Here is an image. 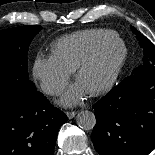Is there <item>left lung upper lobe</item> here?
I'll return each instance as SVG.
<instances>
[{"instance_id":"1","label":"left lung upper lobe","mask_w":155,"mask_h":155,"mask_svg":"<svg viewBox=\"0 0 155 155\" xmlns=\"http://www.w3.org/2000/svg\"><path fill=\"white\" fill-rule=\"evenodd\" d=\"M131 30L136 35V38L139 41V45L143 48L144 53L142 64L135 68L131 73V75H134L149 68H155V46L148 38L137 31L133 26H131Z\"/></svg>"}]
</instances>
